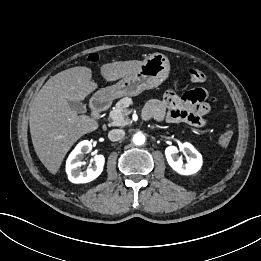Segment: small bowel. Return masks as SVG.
I'll return each mask as SVG.
<instances>
[{
	"label": "small bowel",
	"mask_w": 261,
	"mask_h": 261,
	"mask_svg": "<svg viewBox=\"0 0 261 261\" xmlns=\"http://www.w3.org/2000/svg\"><path fill=\"white\" fill-rule=\"evenodd\" d=\"M206 98L207 92L202 88L187 91L182 96L169 91L162 100L148 102L145 116L159 121L167 117L171 122H184L194 127H202L206 124V115L210 110Z\"/></svg>",
	"instance_id": "c3829d8e"
}]
</instances>
